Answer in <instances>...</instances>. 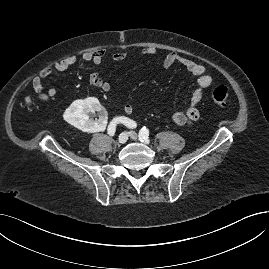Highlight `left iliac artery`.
<instances>
[{
	"mask_svg": "<svg viewBox=\"0 0 269 269\" xmlns=\"http://www.w3.org/2000/svg\"><path fill=\"white\" fill-rule=\"evenodd\" d=\"M149 131L148 129H146V127H143L140 131H139V139L141 142H145V143H149Z\"/></svg>",
	"mask_w": 269,
	"mask_h": 269,
	"instance_id": "left-iliac-artery-1",
	"label": "left iliac artery"
}]
</instances>
